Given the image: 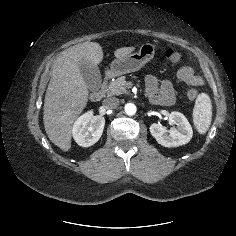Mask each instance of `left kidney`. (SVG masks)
I'll use <instances>...</instances> for the list:
<instances>
[{"label":"left kidney","instance_id":"5707ae66","mask_svg":"<svg viewBox=\"0 0 236 236\" xmlns=\"http://www.w3.org/2000/svg\"><path fill=\"white\" fill-rule=\"evenodd\" d=\"M169 119L177 127L169 131L161 125L153 123L150 126L151 135L164 147H178L187 144L193 135L192 127L187 118L180 112H171Z\"/></svg>","mask_w":236,"mask_h":236}]
</instances>
